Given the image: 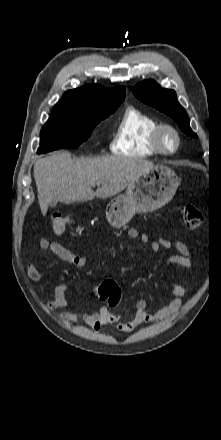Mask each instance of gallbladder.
Returning a JSON list of instances; mask_svg holds the SVG:
<instances>
[{"instance_id":"1","label":"gallbladder","mask_w":221,"mask_h":440,"mask_svg":"<svg viewBox=\"0 0 221 440\" xmlns=\"http://www.w3.org/2000/svg\"><path fill=\"white\" fill-rule=\"evenodd\" d=\"M56 204H57V202L56 201H52L49 205H50V207H55L56 206Z\"/></svg>"}]
</instances>
